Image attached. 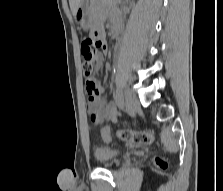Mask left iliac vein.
<instances>
[{
    "label": "left iliac vein",
    "instance_id": "4c4485c4",
    "mask_svg": "<svg viewBox=\"0 0 223 191\" xmlns=\"http://www.w3.org/2000/svg\"><path fill=\"white\" fill-rule=\"evenodd\" d=\"M124 103L125 107L128 109L130 113H134L140 108V103L137 96L130 91L125 92Z\"/></svg>",
    "mask_w": 223,
    "mask_h": 191
}]
</instances>
